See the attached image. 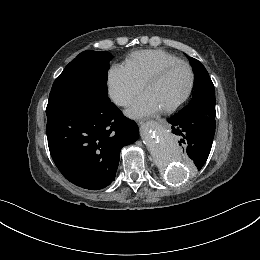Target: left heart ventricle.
I'll use <instances>...</instances> for the list:
<instances>
[{"label": "left heart ventricle", "mask_w": 260, "mask_h": 260, "mask_svg": "<svg viewBox=\"0 0 260 260\" xmlns=\"http://www.w3.org/2000/svg\"><path fill=\"white\" fill-rule=\"evenodd\" d=\"M190 81L185 67H177L146 90L161 108H164L183 96Z\"/></svg>", "instance_id": "1"}]
</instances>
